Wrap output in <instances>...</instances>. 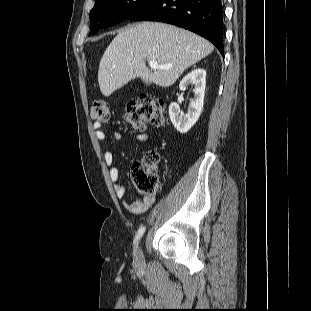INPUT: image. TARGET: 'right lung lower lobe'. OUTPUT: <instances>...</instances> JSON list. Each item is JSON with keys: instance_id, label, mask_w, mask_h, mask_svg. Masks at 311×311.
<instances>
[{"instance_id": "right-lung-lower-lobe-1", "label": "right lung lower lobe", "mask_w": 311, "mask_h": 311, "mask_svg": "<svg viewBox=\"0 0 311 311\" xmlns=\"http://www.w3.org/2000/svg\"><path fill=\"white\" fill-rule=\"evenodd\" d=\"M222 0H155L129 19L160 21L197 33L211 41L224 56Z\"/></svg>"}]
</instances>
